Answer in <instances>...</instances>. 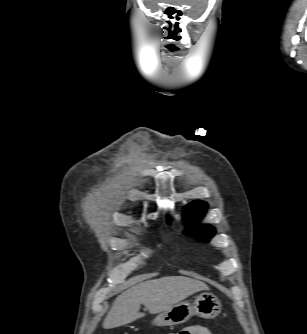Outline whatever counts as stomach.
Returning <instances> with one entry per match:
<instances>
[{
    "label": "stomach",
    "mask_w": 307,
    "mask_h": 334,
    "mask_svg": "<svg viewBox=\"0 0 307 334\" xmlns=\"http://www.w3.org/2000/svg\"><path fill=\"white\" fill-rule=\"evenodd\" d=\"M221 312V302L212 293L204 292L199 294L194 303L180 302L171 308L162 311L153 320L156 326H173L185 323L193 315L202 318L212 319Z\"/></svg>",
    "instance_id": "0dacf381"
}]
</instances>
